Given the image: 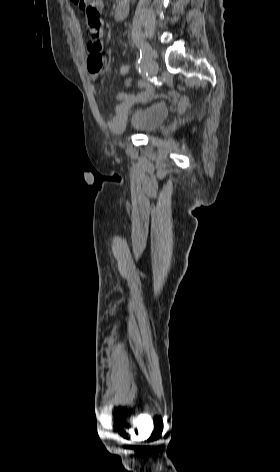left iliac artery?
Returning a JSON list of instances; mask_svg holds the SVG:
<instances>
[{
    "label": "left iliac artery",
    "mask_w": 280,
    "mask_h": 472,
    "mask_svg": "<svg viewBox=\"0 0 280 472\" xmlns=\"http://www.w3.org/2000/svg\"><path fill=\"white\" fill-rule=\"evenodd\" d=\"M136 45L140 49V59L138 60V63L136 64V68L140 70L148 59L149 48L145 44L140 43V42H136Z\"/></svg>",
    "instance_id": "left-iliac-artery-1"
}]
</instances>
